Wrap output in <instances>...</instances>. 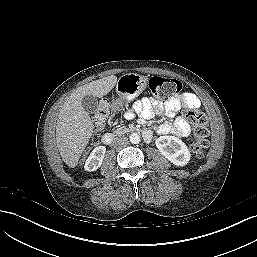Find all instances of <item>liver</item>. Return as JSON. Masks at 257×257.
<instances>
[{"label":"liver","instance_id":"obj_1","mask_svg":"<svg viewBox=\"0 0 257 257\" xmlns=\"http://www.w3.org/2000/svg\"><path fill=\"white\" fill-rule=\"evenodd\" d=\"M114 75L92 81L79 87L63 104L57 119L56 141L65 164L74 168L83 153L93 133V123L89 114L82 106V99L86 95L103 97L116 85Z\"/></svg>","mask_w":257,"mask_h":257}]
</instances>
